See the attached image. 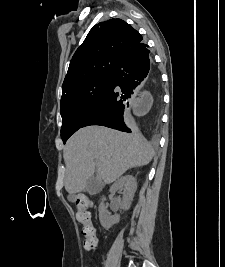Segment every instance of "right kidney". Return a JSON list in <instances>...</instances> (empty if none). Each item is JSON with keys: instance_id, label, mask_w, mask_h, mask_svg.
Returning a JSON list of instances; mask_svg holds the SVG:
<instances>
[{"instance_id": "right-kidney-1", "label": "right kidney", "mask_w": 225, "mask_h": 267, "mask_svg": "<svg viewBox=\"0 0 225 267\" xmlns=\"http://www.w3.org/2000/svg\"><path fill=\"white\" fill-rule=\"evenodd\" d=\"M136 189V179L132 175H125L112 184L110 193L114 195L117 191L123 190L121 208L126 211L131 206ZM105 200L106 198L103 197L99 205V220L105 229H109L119 222L120 216L118 214L112 216L107 212L104 205Z\"/></svg>"}]
</instances>
